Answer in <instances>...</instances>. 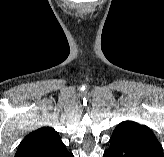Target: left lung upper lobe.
I'll use <instances>...</instances> for the list:
<instances>
[{"label": "left lung upper lobe", "mask_w": 164, "mask_h": 157, "mask_svg": "<svg viewBox=\"0 0 164 157\" xmlns=\"http://www.w3.org/2000/svg\"><path fill=\"white\" fill-rule=\"evenodd\" d=\"M138 146L150 154L163 157V149L153 132L145 125L133 121H124L116 126L111 136Z\"/></svg>", "instance_id": "obj_1"}]
</instances>
